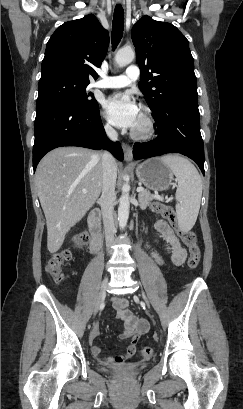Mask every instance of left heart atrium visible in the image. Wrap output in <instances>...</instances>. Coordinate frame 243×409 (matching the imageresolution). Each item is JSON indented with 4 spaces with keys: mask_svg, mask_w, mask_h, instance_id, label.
Returning <instances> with one entry per match:
<instances>
[{
    "mask_svg": "<svg viewBox=\"0 0 243 409\" xmlns=\"http://www.w3.org/2000/svg\"><path fill=\"white\" fill-rule=\"evenodd\" d=\"M107 119L116 127L133 128L136 124L139 109L127 93H117L104 102Z\"/></svg>",
    "mask_w": 243,
    "mask_h": 409,
    "instance_id": "left-heart-atrium-1",
    "label": "left heart atrium"
}]
</instances>
